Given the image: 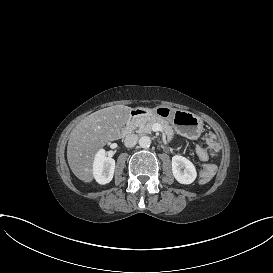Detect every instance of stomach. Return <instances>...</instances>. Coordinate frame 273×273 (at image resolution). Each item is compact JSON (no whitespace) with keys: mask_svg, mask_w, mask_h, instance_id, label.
<instances>
[{"mask_svg":"<svg viewBox=\"0 0 273 273\" xmlns=\"http://www.w3.org/2000/svg\"><path fill=\"white\" fill-rule=\"evenodd\" d=\"M149 113L168 120L177 134L187 139L196 140L203 133V120L192 112L159 106Z\"/></svg>","mask_w":273,"mask_h":273,"instance_id":"obj_1","label":"stomach"}]
</instances>
